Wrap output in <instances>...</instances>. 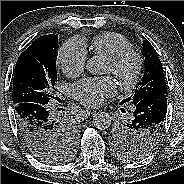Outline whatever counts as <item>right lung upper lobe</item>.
<instances>
[{"label": "right lung upper lobe", "instance_id": "1", "mask_svg": "<svg viewBox=\"0 0 184 184\" xmlns=\"http://www.w3.org/2000/svg\"><path fill=\"white\" fill-rule=\"evenodd\" d=\"M49 35L41 36L37 38L33 43H44L47 41Z\"/></svg>", "mask_w": 184, "mask_h": 184}]
</instances>
